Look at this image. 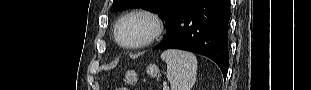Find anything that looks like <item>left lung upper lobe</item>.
<instances>
[{
	"instance_id": "1",
	"label": "left lung upper lobe",
	"mask_w": 311,
	"mask_h": 90,
	"mask_svg": "<svg viewBox=\"0 0 311 90\" xmlns=\"http://www.w3.org/2000/svg\"><path fill=\"white\" fill-rule=\"evenodd\" d=\"M196 0H114V11L133 7L142 8L158 14L165 22L167 32L172 28L178 16Z\"/></svg>"
}]
</instances>
